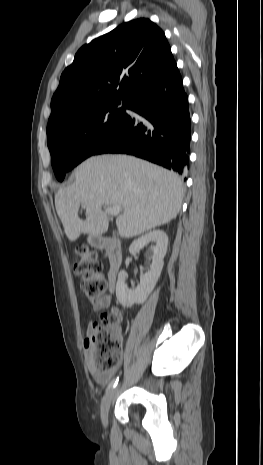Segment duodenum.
<instances>
[{"label": "duodenum", "mask_w": 263, "mask_h": 465, "mask_svg": "<svg viewBox=\"0 0 263 465\" xmlns=\"http://www.w3.org/2000/svg\"><path fill=\"white\" fill-rule=\"evenodd\" d=\"M92 245L98 249H104L109 261V281L113 287L116 280L118 269L123 261L122 246L119 240L110 237H95Z\"/></svg>", "instance_id": "obj_1"}]
</instances>
